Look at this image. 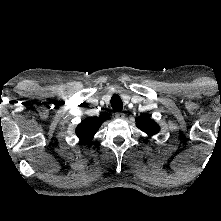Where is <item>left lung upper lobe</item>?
Returning a JSON list of instances; mask_svg holds the SVG:
<instances>
[{"label": "left lung upper lobe", "mask_w": 221, "mask_h": 221, "mask_svg": "<svg viewBox=\"0 0 221 221\" xmlns=\"http://www.w3.org/2000/svg\"><path fill=\"white\" fill-rule=\"evenodd\" d=\"M136 126L148 136H153L160 131L159 125L146 114L136 118Z\"/></svg>", "instance_id": "1"}]
</instances>
